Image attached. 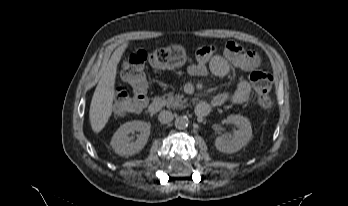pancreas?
I'll return each instance as SVG.
<instances>
[{
    "label": "pancreas",
    "instance_id": "1",
    "mask_svg": "<svg viewBox=\"0 0 348 206\" xmlns=\"http://www.w3.org/2000/svg\"><path fill=\"white\" fill-rule=\"evenodd\" d=\"M161 98L165 101L166 106L168 108L182 107L187 102V99L184 98L183 95H180V94L174 95V93H168L162 96Z\"/></svg>",
    "mask_w": 348,
    "mask_h": 206
}]
</instances>
